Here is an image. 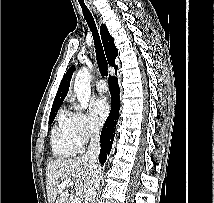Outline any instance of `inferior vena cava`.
<instances>
[{"label": "inferior vena cava", "mask_w": 214, "mask_h": 203, "mask_svg": "<svg viewBox=\"0 0 214 203\" xmlns=\"http://www.w3.org/2000/svg\"><path fill=\"white\" fill-rule=\"evenodd\" d=\"M100 130L98 127H91L90 129V144L86 154L83 156V159L88 160L91 167V185L85 195L84 203H95L96 190L99 187L101 167L99 166V144Z\"/></svg>", "instance_id": "obj_1"}]
</instances>
